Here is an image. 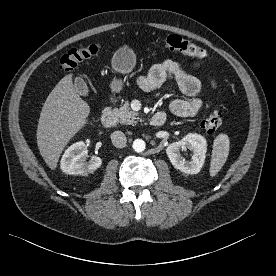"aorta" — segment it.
<instances>
[{"label": "aorta", "mask_w": 276, "mask_h": 276, "mask_svg": "<svg viewBox=\"0 0 276 276\" xmlns=\"http://www.w3.org/2000/svg\"><path fill=\"white\" fill-rule=\"evenodd\" d=\"M132 147L134 149L135 152H143L146 148V143L144 140L142 139H136L134 140L133 144H132Z\"/></svg>", "instance_id": "aorta-1"}]
</instances>
